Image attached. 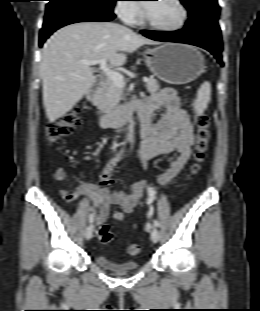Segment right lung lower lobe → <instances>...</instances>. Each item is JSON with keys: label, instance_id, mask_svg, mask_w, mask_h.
Instances as JSON below:
<instances>
[{"label": "right lung lower lobe", "instance_id": "98d812e1", "mask_svg": "<svg viewBox=\"0 0 260 311\" xmlns=\"http://www.w3.org/2000/svg\"><path fill=\"white\" fill-rule=\"evenodd\" d=\"M49 1L40 31V47L54 31L65 25L86 21H110L115 18L113 12L102 10L84 0Z\"/></svg>", "mask_w": 260, "mask_h": 311}]
</instances>
